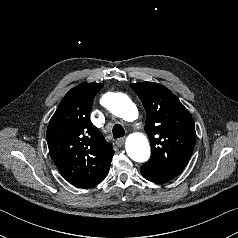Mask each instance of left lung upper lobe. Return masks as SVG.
I'll list each match as a JSON object with an SVG mask.
<instances>
[{"label":"left lung upper lobe","instance_id":"1","mask_svg":"<svg viewBox=\"0 0 238 238\" xmlns=\"http://www.w3.org/2000/svg\"><path fill=\"white\" fill-rule=\"evenodd\" d=\"M130 87L141 99L147 114L144 129L152 149L148 163L183 171L195 146L192 116L169 89L158 83L141 82Z\"/></svg>","mask_w":238,"mask_h":238}]
</instances>
